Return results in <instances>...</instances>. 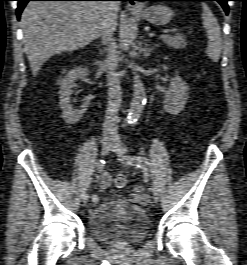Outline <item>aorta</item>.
Returning a JSON list of instances; mask_svg holds the SVG:
<instances>
[{
    "instance_id": "762f6f07",
    "label": "aorta",
    "mask_w": 247,
    "mask_h": 265,
    "mask_svg": "<svg viewBox=\"0 0 247 265\" xmlns=\"http://www.w3.org/2000/svg\"><path fill=\"white\" fill-rule=\"evenodd\" d=\"M146 103V92L144 85L141 81L140 75L134 71L133 72V97L131 101V106L129 110V118L131 122L136 121L143 109L144 105Z\"/></svg>"
}]
</instances>
